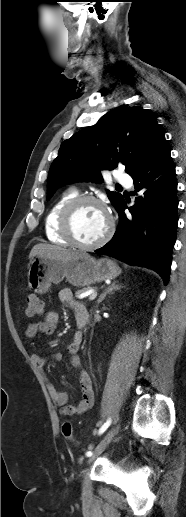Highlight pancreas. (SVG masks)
I'll list each match as a JSON object with an SVG mask.
<instances>
[{
    "instance_id": "obj_1",
    "label": "pancreas",
    "mask_w": 186,
    "mask_h": 517,
    "mask_svg": "<svg viewBox=\"0 0 186 517\" xmlns=\"http://www.w3.org/2000/svg\"><path fill=\"white\" fill-rule=\"evenodd\" d=\"M93 289L94 288H92V287H84V288H82L80 290H77L75 292V297L79 298L81 296V294L86 293L87 291H90V290H93Z\"/></svg>"
}]
</instances>
